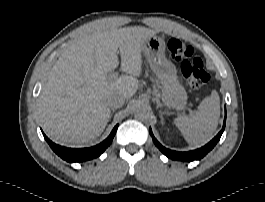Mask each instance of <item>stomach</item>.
Instances as JSON below:
<instances>
[{
    "mask_svg": "<svg viewBox=\"0 0 265 202\" xmlns=\"http://www.w3.org/2000/svg\"><path fill=\"white\" fill-rule=\"evenodd\" d=\"M165 49V41L161 37L153 35L144 42L142 53L160 80L163 104L168 109L180 110L187 103V93L178 82L176 67L166 58Z\"/></svg>",
    "mask_w": 265,
    "mask_h": 202,
    "instance_id": "stomach-1",
    "label": "stomach"
}]
</instances>
